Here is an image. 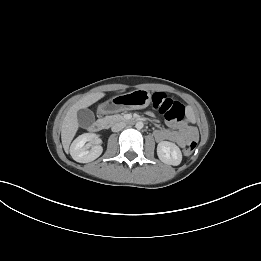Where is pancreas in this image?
Segmentation results:
<instances>
[{
    "label": "pancreas",
    "mask_w": 261,
    "mask_h": 261,
    "mask_svg": "<svg viewBox=\"0 0 261 261\" xmlns=\"http://www.w3.org/2000/svg\"><path fill=\"white\" fill-rule=\"evenodd\" d=\"M105 120L113 123L115 121H119V120H123V116L122 115H113V116H107L105 118Z\"/></svg>",
    "instance_id": "cf45deb5"
}]
</instances>
